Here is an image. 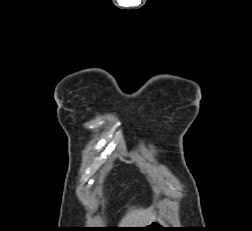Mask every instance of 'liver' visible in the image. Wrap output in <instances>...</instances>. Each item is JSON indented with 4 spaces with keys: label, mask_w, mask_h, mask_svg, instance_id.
Returning <instances> with one entry per match:
<instances>
[{
    "label": "liver",
    "mask_w": 252,
    "mask_h": 231,
    "mask_svg": "<svg viewBox=\"0 0 252 231\" xmlns=\"http://www.w3.org/2000/svg\"><path fill=\"white\" fill-rule=\"evenodd\" d=\"M155 218L153 208H131L123 217L119 226L121 228H142L150 224Z\"/></svg>",
    "instance_id": "liver-1"
}]
</instances>
